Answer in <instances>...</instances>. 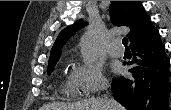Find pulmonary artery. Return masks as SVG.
<instances>
[{
  "instance_id": "1",
  "label": "pulmonary artery",
  "mask_w": 171,
  "mask_h": 110,
  "mask_svg": "<svg viewBox=\"0 0 171 110\" xmlns=\"http://www.w3.org/2000/svg\"><path fill=\"white\" fill-rule=\"evenodd\" d=\"M108 52L113 57H120L124 54L120 40H114L108 48Z\"/></svg>"
}]
</instances>
